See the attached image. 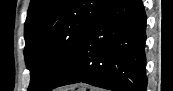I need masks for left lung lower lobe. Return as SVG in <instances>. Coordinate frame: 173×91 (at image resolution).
<instances>
[{"label":"left lung lower lobe","instance_id":"0a47b994","mask_svg":"<svg viewBox=\"0 0 173 91\" xmlns=\"http://www.w3.org/2000/svg\"><path fill=\"white\" fill-rule=\"evenodd\" d=\"M145 30L141 0H111L56 87L83 82L113 91H146Z\"/></svg>","mask_w":173,"mask_h":91}]
</instances>
